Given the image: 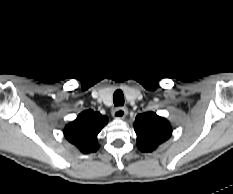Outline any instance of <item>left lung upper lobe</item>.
Wrapping results in <instances>:
<instances>
[{
    "label": "left lung upper lobe",
    "mask_w": 233,
    "mask_h": 194,
    "mask_svg": "<svg viewBox=\"0 0 233 194\" xmlns=\"http://www.w3.org/2000/svg\"><path fill=\"white\" fill-rule=\"evenodd\" d=\"M134 130L137 134L138 149L142 152H152L172 133L168 121L154 112L137 115Z\"/></svg>",
    "instance_id": "left-lung-upper-lobe-1"
}]
</instances>
